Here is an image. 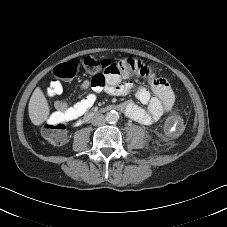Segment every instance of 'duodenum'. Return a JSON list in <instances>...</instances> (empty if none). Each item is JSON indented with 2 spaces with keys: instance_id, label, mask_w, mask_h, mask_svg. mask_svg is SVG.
Masks as SVG:
<instances>
[{
  "instance_id": "410a0bca",
  "label": "duodenum",
  "mask_w": 227,
  "mask_h": 227,
  "mask_svg": "<svg viewBox=\"0 0 227 227\" xmlns=\"http://www.w3.org/2000/svg\"><path fill=\"white\" fill-rule=\"evenodd\" d=\"M92 116H93V113H89V114L85 117V120L90 119Z\"/></svg>"
}]
</instances>
